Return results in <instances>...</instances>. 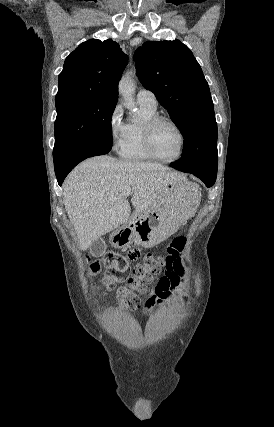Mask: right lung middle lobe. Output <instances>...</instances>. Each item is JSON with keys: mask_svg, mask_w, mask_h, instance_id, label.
<instances>
[{"mask_svg": "<svg viewBox=\"0 0 274 427\" xmlns=\"http://www.w3.org/2000/svg\"><path fill=\"white\" fill-rule=\"evenodd\" d=\"M117 100L95 97L56 106L55 168L65 165L93 146L111 145V120Z\"/></svg>", "mask_w": 274, "mask_h": 427, "instance_id": "1", "label": "right lung middle lobe"}]
</instances>
